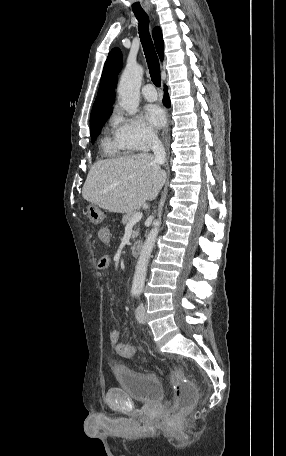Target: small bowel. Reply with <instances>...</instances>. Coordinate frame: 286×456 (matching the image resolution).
Returning <instances> with one entry per match:
<instances>
[{"label":"small bowel","mask_w":286,"mask_h":456,"mask_svg":"<svg viewBox=\"0 0 286 456\" xmlns=\"http://www.w3.org/2000/svg\"><path fill=\"white\" fill-rule=\"evenodd\" d=\"M99 238L101 239L102 242L104 243H109L110 242V231L107 227H102L99 229L98 232ZM112 262V259L109 255H104L100 258L98 261L97 267L99 270H106L107 268L110 267ZM110 341L114 345L116 353L124 356L121 353V347L127 344L121 343L120 342V332L119 330L115 329L110 332Z\"/></svg>","instance_id":"c3829d8e"}]
</instances>
